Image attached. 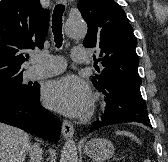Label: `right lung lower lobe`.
Segmentation results:
<instances>
[{
  "instance_id": "1",
  "label": "right lung lower lobe",
  "mask_w": 168,
  "mask_h": 162,
  "mask_svg": "<svg viewBox=\"0 0 168 162\" xmlns=\"http://www.w3.org/2000/svg\"><path fill=\"white\" fill-rule=\"evenodd\" d=\"M40 85H34L28 93L0 92V122L34 133L41 138L57 142L61 125L39 103Z\"/></svg>"
}]
</instances>
